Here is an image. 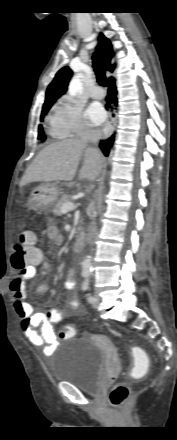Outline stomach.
I'll use <instances>...</instances> for the list:
<instances>
[{
    "instance_id": "stomach-1",
    "label": "stomach",
    "mask_w": 177,
    "mask_h": 440,
    "mask_svg": "<svg viewBox=\"0 0 177 440\" xmlns=\"http://www.w3.org/2000/svg\"><path fill=\"white\" fill-rule=\"evenodd\" d=\"M58 194L57 183H44L31 191L27 207L34 211H51L57 201Z\"/></svg>"
}]
</instances>
